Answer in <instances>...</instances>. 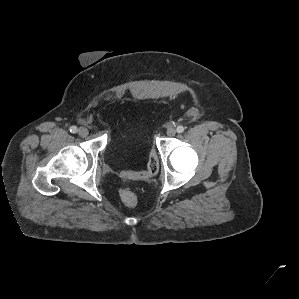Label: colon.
Masks as SVG:
<instances>
[{
    "label": "colon",
    "mask_w": 299,
    "mask_h": 299,
    "mask_svg": "<svg viewBox=\"0 0 299 299\" xmlns=\"http://www.w3.org/2000/svg\"><path fill=\"white\" fill-rule=\"evenodd\" d=\"M160 162L156 153H152L149 157L147 168L144 171H127L123 175L129 179H147L155 175L159 171ZM121 199L128 207H134L137 204V195L130 189L121 190Z\"/></svg>",
    "instance_id": "colon-1"
}]
</instances>
